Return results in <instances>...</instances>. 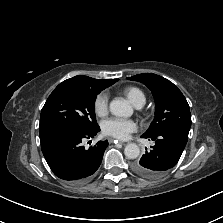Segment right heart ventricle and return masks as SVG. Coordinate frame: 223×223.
Wrapping results in <instances>:
<instances>
[{
	"label": "right heart ventricle",
	"instance_id": "right-heart-ventricle-1",
	"mask_svg": "<svg viewBox=\"0 0 223 223\" xmlns=\"http://www.w3.org/2000/svg\"><path fill=\"white\" fill-rule=\"evenodd\" d=\"M123 93L129 99V101L136 107L143 106L146 101L144 92L138 87H126L123 90Z\"/></svg>",
	"mask_w": 223,
	"mask_h": 223
}]
</instances>
